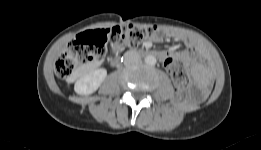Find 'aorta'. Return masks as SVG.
<instances>
[{
	"mask_svg": "<svg viewBox=\"0 0 261 150\" xmlns=\"http://www.w3.org/2000/svg\"><path fill=\"white\" fill-rule=\"evenodd\" d=\"M156 62H157V60L153 55H148L145 57V63L149 66L155 65Z\"/></svg>",
	"mask_w": 261,
	"mask_h": 150,
	"instance_id": "762f6f07",
	"label": "aorta"
}]
</instances>
